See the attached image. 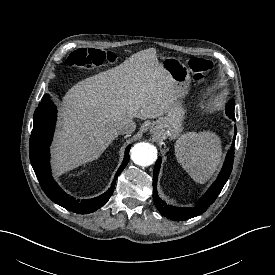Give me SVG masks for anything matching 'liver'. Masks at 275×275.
<instances>
[{
	"instance_id": "obj_1",
	"label": "liver",
	"mask_w": 275,
	"mask_h": 275,
	"mask_svg": "<svg viewBox=\"0 0 275 275\" xmlns=\"http://www.w3.org/2000/svg\"><path fill=\"white\" fill-rule=\"evenodd\" d=\"M176 100L173 80L155 48L78 82L61 102L53 167L61 170L97 159L120 134V120L160 117Z\"/></svg>"
}]
</instances>
